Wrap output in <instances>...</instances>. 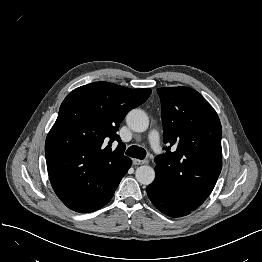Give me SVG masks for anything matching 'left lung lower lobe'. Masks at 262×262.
Wrapping results in <instances>:
<instances>
[{"instance_id":"0a47b994","label":"left lung lower lobe","mask_w":262,"mask_h":262,"mask_svg":"<svg viewBox=\"0 0 262 262\" xmlns=\"http://www.w3.org/2000/svg\"><path fill=\"white\" fill-rule=\"evenodd\" d=\"M147 194L153 205L162 213L178 218L189 215L192 211L176 203L168 194L160 189L156 180L147 187Z\"/></svg>"}]
</instances>
